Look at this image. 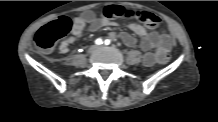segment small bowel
Instances as JSON below:
<instances>
[{
	"label": "small bowel",
	"instance_id": "small-bowel-1",
	"mask_svg": "<svg viewBox=\"0 0 218 122\" xmlns=\"http://www.w3.org/2000/svg\"><path fill=\"white\" fill-rule=\"evenodd\" d=\"M111 24V20L99 12L82 13L73 19L71 36H69L60 44V52H69L71 44L81 37L87 25H89V29L94 32L103 26H108ZM127 27L132 31L133 34L127 32H121L119 34L111 33L109 37L111 39L121 40L128 47H134L137 44V39L135 36L140 37V48L144 51L143 63L145 66L150 67L156 63H159V59L164 57L165 54L169 53L172 47V40L169 34L166 32H148L143 25L137 23H130Z\"/></svg>",
	"mask_w": 218,
	"mask_h": 122
}]
</instances>
